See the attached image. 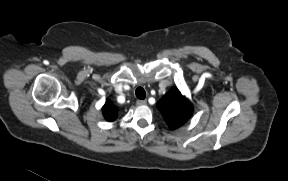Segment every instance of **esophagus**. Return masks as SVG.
I'll use <instances>...</instances> for the list:
<instances>
[{
	"label": "esophagus",
	"mask_w": 288,
	"mask_h": 181,
	"mask_svg": "<svg viewBox=\"0 0 288 181\" xmlns=\"http://www.w3.org/2000/svg\"><path fill=\"white\" fill-rule=\"evenodd\" d=\"M136 103H137V105H145L147 103V101L142 100V99H138Z\"/></svg>",
	"instance_id": "esophagus-1"
}]
</instances>
